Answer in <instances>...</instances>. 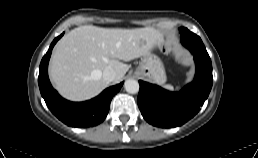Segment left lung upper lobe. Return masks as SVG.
<instances>
[{"label": "left lung upper lobe", "mask_w": 258, "mask_h": 158, "mask_svg": "<svg viewBox=\"0 0 258 158\" xmlns=\"http://www.w3.org/2000/svg\"><path fill=\"white\" fill-rule=\"evenodd\" d=\"M179 30H180V33H182L184 31V27H181Z\"/></svg>", "instance_id": "obj_1"}]
</instances>
